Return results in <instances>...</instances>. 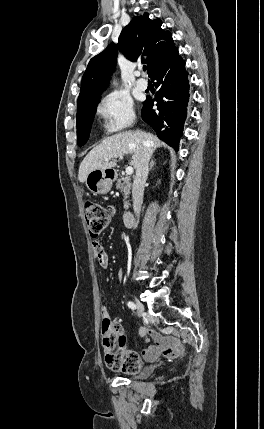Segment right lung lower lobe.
Here are the masks:
<instances>
[{
	"instance_id": "1",
	"label": "right lung lower lobe",
	"mask_w": 264,
	"mask_h": 429,
	"mask_svg": "<svg viewBox=\"0 0 264 429\" xmlns=\"http://www.w3.org/2000/svg\"><path fill=\"white\" fill-rule=\"evenodd\" d=\"M184 66L176 49L154 70L150 77L157 81L158 91L154 99H146L141 111L142 119L175 150H178L189 100L188 74ZM155 101L157 110L152 109Z\"/></svg>"
}]
</instances>
